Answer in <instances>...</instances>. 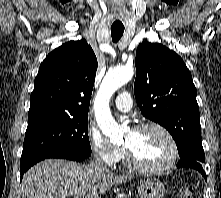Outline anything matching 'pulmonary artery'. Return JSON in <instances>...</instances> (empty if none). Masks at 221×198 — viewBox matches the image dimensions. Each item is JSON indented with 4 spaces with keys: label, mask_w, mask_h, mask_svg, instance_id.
Segmentation results:
<instances>
[{
    "label": "pulmonary artery",
    "mask_w": 221,
    "mask_h": 198,
    "mask_svg": "<svg viewBox=\"0 0 221 198\" xmlns=\"http://www.w3.org/2000/svg\"><path fill=\"white\" fill-rule=\"evenodd\" d=\"M115 106L121 112H128L132 107V99L128 92L119 94L115 99Z\"/></svg>",
    "instance_id": "pulmonary-artery-1"
}]
</instances>
